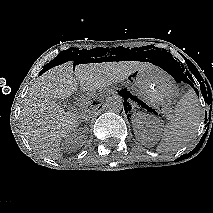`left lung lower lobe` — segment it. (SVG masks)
Instances as JSON below:
<instances>
[{"label":"left lung lower lobe","mask_w":213,"mask_h":213,"mask_svg":"<svg viewBox=\"0 0 213 213\" xmlns=\"http://www.w3.org/2000/svg\"><path fill=\"white\" fill-rule=\"evenodd\" d=\"M118 94L124 98V103H125V100L127 101V98H129L130 93L126 92L125 90H121V91H118Z\"/></svg>","instance_id":"obj_1"}]
</instances>
